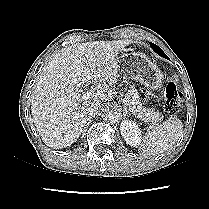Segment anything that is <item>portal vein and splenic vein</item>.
Wrapping results in <instances>:
<instances>
[{"label": "portal vein and splenic vein", "instance_id": "18ae733b", "mask_svg": "<svg viewBox=\"0 0 209 209\" xmlns=\"http://www.w3.org/2000/svg\"><path fill=\"white\" fill-rule=\"evenodd\" d=\"M94 96V92L92 90L86 91L82 93V99L83 100H88ZM125 105H127L128 101L124 100ZM128 106V105H127ZM132 113L134 112L133 110L129 109Z\"/></svg>", "mask_w": 209, "mask_h": 209}]
</instances>
